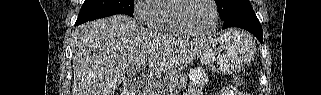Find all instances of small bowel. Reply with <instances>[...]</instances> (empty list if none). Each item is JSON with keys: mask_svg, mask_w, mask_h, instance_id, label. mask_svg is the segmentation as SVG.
I'll use <instances>...</instances> for the list:
<instances>
[{"mask_svg": "<svg viewBox=\"0 0 321 95\" xmlns=\"http://www.w3.org/2000/svg\"><path fill=\"white\" fill-rule=\"evenodd\" d=\"M217 95H238V91L233 86H225L221 88L217 93Z\"/></svg>", "mask_w": 321, "mask_h": 95, "instance_id": "c3829d8e", "label": "small bowel"}]
</instances>
